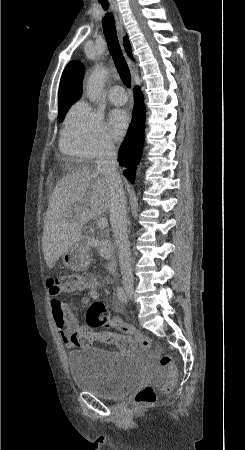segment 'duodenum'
<instances>
[{
	"label": "duodenum",
	"instance_id": "duodenum-1",
	"mask_svg": "<svg viewBox=\"0 0 245 450\" xmlns=\"http://www.w3.org/2000/svg\"><path fill=\"white\" fill-rule=\"evenodd\" d=\"M99 244H108L110 247H114V243L112 241H105L99 239H92L86 236H80L77 239L76 247L80 251L81 254H84L90 250H92L96 245ZM80 260H83L80 258ZM119 269V261L118 258L113 255L108 264V270L112 273H116Z\"/></svg>",
	"mask_w": 245,
	"mask_h": 450
}]
</instances>
